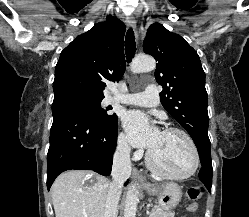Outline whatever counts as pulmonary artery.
I'll return each mask as SVG.
<instances>
[{
	"label": "pulmonary artery",
	"mask_w": 249,
	"mask_h": 217,
	"mask_svg": "<svg viewBox=\"0 0 249 217\" xmlns=\"http://www.w3.org/2000/svg\"><path fill=\"white\" fill-rule=\"evenodd\" d=\"M114 100L131 105L155 107L159 104V93L155 85H149L143 92L118 95Z\"/></svg>",
	"instance_id": "1"
}]
</instances>
